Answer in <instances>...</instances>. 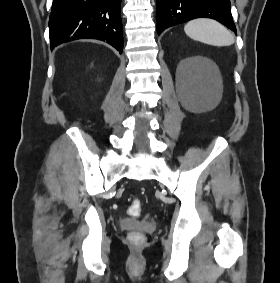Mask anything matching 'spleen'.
<instances>
[{"mask_svg":"<svg viewBox=\"0 0 280 283\" xmlns=\"http://www.w3.org/2000/svg\"><path fill=\"white\" fill-rule=\"evenodd\" d=\"M184 31L191 39L214 46H230L235 41L226 27L207 18L189 21L184 26Z\"/></svg>","mask_w":280,"mask_h":283,"instance_id":"3e777b00","label":"spleen"}]
</instances>
